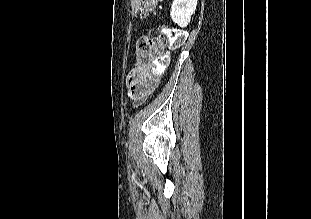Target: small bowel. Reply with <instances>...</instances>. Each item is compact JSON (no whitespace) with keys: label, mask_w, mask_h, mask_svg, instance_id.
Listing matches in <instances>:
<instances>
[{"label":"small bowel","mask_w":311,"mask_h":219,"mask_svg":"<svg viewBox=\"0 0 311 219\" xmlns=\"http://www.w3.org/2000/svg\"><path fill=\"white\" fill-rule=\"evenodd\" d=\"M159 84V78L151 76L146 69H133L128 74L126 85L128 96L136 104L146 100Z\"/></svg>","instance_id":"small-bowel-1"}]
</instances>
